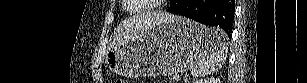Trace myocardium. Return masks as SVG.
Wrapping results in <instances>:
<instances>
[{"label": "myocardium", "instance_id": "1", "mask_svg": "<svg viewBox=\"0 0 307 83\" xmlns=\"http://www.w3.org/2000/svg\"><path fill=\"white\" fill-rule=\"evenodd\" d=\"M125 2H127L128 0H124ZM165 2V0H160V1H157V3H163ZM159 7V5L157 4H152V5H148L146 6L145 8L143 9H140V10H132L130 7L126 6V9L127 11H129L130 13H133V14H142V13H146V12H149L151 10H153L154 8H157Z\"/></svg>", "mask_w": 307, "mask_h": 83}]
</instances>
